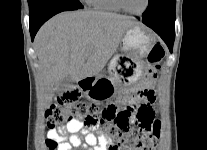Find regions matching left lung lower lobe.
Masks as SVG:
<instances>
[{
    "instance_id": "left-lung-lower-lobe-1",
    "label": "left lung lower lobe",
    "mask_w": 207,
    "mask_h": 150,
    "mask_svg": "<svg viewBox=\"0 0 207 150\" xmlns=\"http://www.w3.org/2000/svg\"><path fill=\"white\" fill-rule=\"evenodd\" d=\"M140 20L153 29L167 44L170 52H172L175 39V7L157 16L142 17Z\"/></svg>"
}]
</instances>
